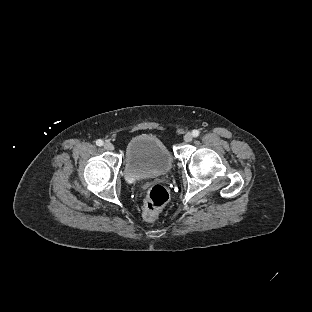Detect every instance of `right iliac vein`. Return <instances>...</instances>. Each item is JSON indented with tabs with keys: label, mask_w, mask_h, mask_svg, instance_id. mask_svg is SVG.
<instances>
[{
	"label": "right iliac vein",
	"mask_w": 312,
	"mask_h": 312,
	"mask_svg": "<svg viewBox=\"0 0 312 312\" xmlns=\"http://www.w3.org/2000/svg\"><path fill=\"white\" fill-rule=\"evenodd\" d=\"M103 147L106 149V150H113L114 149V145L109 142V141H106L103 145Z\"/></svg>",
	"instance_id": "obj_1"
}]
</instances>
